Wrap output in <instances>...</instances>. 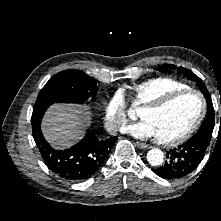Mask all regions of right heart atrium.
<instances>
[{"instance_id": "obj_1", "label": "right heart atrium", "mask_w": 221, "mask_h": 221, "mask_svg": "<svg viewBox=\"0 0 221 221\" xmlns=\"http://www.w3.org/2000/svg\"><path fill=\"white\" fill-rule=\"evenodd\" d=\"M127 103L122 91L114 92L104 108V122L111 133L118 132L127 122Z\"/></svg>"}]
</instances>
